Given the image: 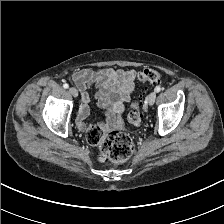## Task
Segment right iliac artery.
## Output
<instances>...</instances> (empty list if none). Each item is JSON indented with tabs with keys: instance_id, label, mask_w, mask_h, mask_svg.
I'll return each instance as SVG.
<instances>
[{
	"instance_id": "82829eb1",
	"label": "right iliac artery",
	"mask_w": 224,
	"mask_h": 224,
	"mask_svg": "<svg viewBox=\"0 0 224 224\" xmlns=\"http://www.w3.org/2000/svg\"><path fill=\"white\" fill-rule=\"evenodd\" d=\"M63 87H64L65 89H67V88H69V85H68L67 83H65V84H63Z\"/></svg>"
}]
</instances>
